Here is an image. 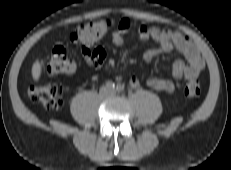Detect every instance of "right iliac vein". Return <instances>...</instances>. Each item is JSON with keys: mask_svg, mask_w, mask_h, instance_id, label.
<instances>
[{"mask_svg": "<svg viewBox=\"0 0 231 170\" xmlns=\"http://www.w3.org/2000/svg\"><path fill=\"white\" fill-rule=\"evenodd\" d=\"M101 95H107L108 94V89L106 87H103L100 91Z\"/></svg>", "mask_w": 231, "mask_h": 170, "instance_id": "1", "label": "right iliac vein"}]
</instances>
